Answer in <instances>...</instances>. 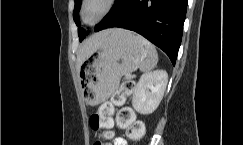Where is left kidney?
<instances>
[{"label":"left kidney","mask_w":243,"mask_h":145,"mask_svg":"<svg viewBox=\"0 0 243 145\" xmlns=\"http://www.w3.org/2000/svg\"><path fill=\"white\" fill-rule=\"evenodd\" d=\"M168 82L164 70L143 74L133 93L132 106L140 114H151L159 106Z\"/></svg>","instance_id":"1"}]
</instances>
